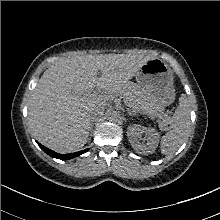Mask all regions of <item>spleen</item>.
I'll use <instances>...</instances> for the list:
<instances>
[{
  "mask_svg": "<svg viewBox=\"0 0 220 220\" xmlns=\"http://www.w3.org/2000/svg\"><path fill=\"white\" fill-rule=\"evenodd\" d=\"M169 123V131L162 137L160 142V149L164 155L175 153L189 134L190 107L185 94H182L179 98V106Z\"/></svg>",
  "mask_w": 220,
  "mask_h": 220,
  "instance_id": "1",
  "label": "spleen"
}]
</instances>
